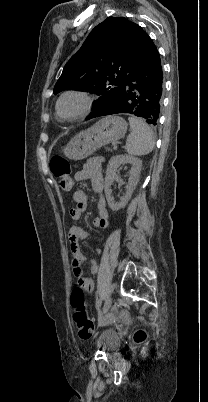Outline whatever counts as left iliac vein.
<instances>
[{"label":"left iliac vein","mask_w":208,"mask_h":402,"mask_svg":"<svg viewBox=\"0 0 208 402\" xmlns=\"http://www.w3.org/2000/svg\"><path fill=\"white\" fill-rule=\"evenodd\" d=\"M111 305H112V298L109 296L106 299L105 304H104V308H103L104 314H106L109 311V309L111 308Z\"/></svg>","instance_id":"1"}]
</instances>
